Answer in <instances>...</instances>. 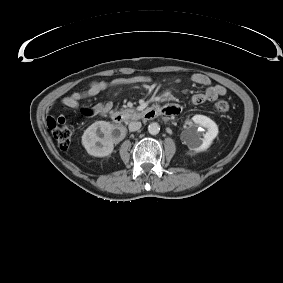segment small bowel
I'll return each instance as SVG.
<instances>
[{
	"mask_svg": "<svg viewBox=\"0 0 283 283\" xmlns=\"http://www.w3.org/2000/svg\"><path fill=\"white\" fill-rule=\"evenodd\" d=\"M191 79L194 84L205 87L203 92H198L192 95L191 100L194 104L199 105L205 102L214 101L218 97L226 94V89L223 86L211 85L210 79L204 74H194ZM149 80L148 76L138 75L131 77H119L111 81H92L85 89L61 98L60 103L67 108L76 110L80 109L85 117L102 116L110 111V102L100 103L92 107H81L80 101L85 98L94 97L109 88L122 87L130 84H144L148 83ZM53 108L54 105H50L48 108L49 112H51ZM163 111L168 115H176L180 112L177 106H166ZM65 121V117L62 115L58 117H47V125L49 128H52L56 124H64Z\"/></svg>",
	"mask_w": 283,
	"mask_h": 283,
	"instance_id": "small-bowel-1",
	"label": "small bowel"
}]
</instances>
